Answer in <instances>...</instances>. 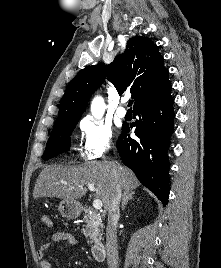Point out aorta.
Here are the masks:
<instances>
[{"label":"aorta","instance_id":"762f6f07","mask_svg":"<svg viewBox=\"0 0 221 268\" xmlns=\"http://www.w3.org/2000/svg\"><path fill=\"white\" fill-rule=\"evenodd\" d=\"M105 111V103L101 96H96L91 103V113L95 118H101Z\"/></svg>","mask_w":221,"mask_h":268}]
</instances>
